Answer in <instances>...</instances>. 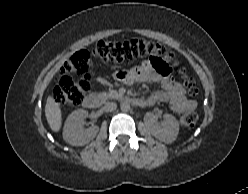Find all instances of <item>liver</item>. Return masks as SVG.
<instances>
[{
    "mask_svg": "<svg viewBox=\"0 0 248 194\" xmlns=\"http://www.w3.org/2000/svg\"><path fill=\"white\" fill-rule=\"evenodd\" d=\"M45 115L52 131L58 132L62 126V112L59 103L51 95L46 100Z\"/></svg>",
    "mask_w": 248,
    "mask_h": 194,
    "instance_id": "liver-1",
    "label": "liver"
}]
</instances>
